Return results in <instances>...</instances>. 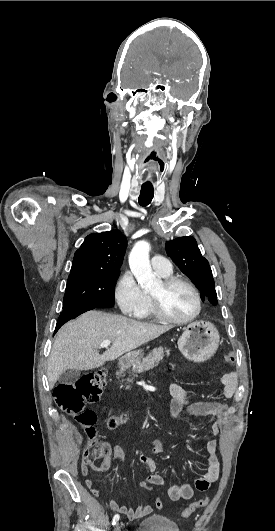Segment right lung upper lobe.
Here are the masks:
<instances>
[{"label":"right lung upper lobe","mask_w":275,"mask_h":531,"mask_svg":"<svg viewBox=\"0 0 275 531\" xmlns=\"http://www.w3.org/2000/svg\"><path fill=\"white\" fill-rule=\"evenodd\" d=\"M126 247V237L119 230L90 234L75 252L70 275L119 272Z\"/></svg>","instance_id":"1"}]
</instances>
